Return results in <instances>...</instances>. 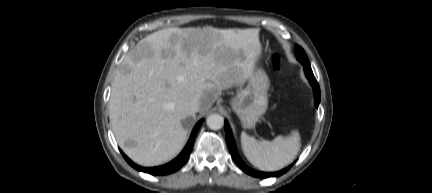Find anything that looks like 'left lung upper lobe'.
Here are the masks:
<instances>
[{
    "label": "left lung upper lobe",
    "mask_w": 432,
    "mask_h": 193,
    "mask_svg": "<svg viewBox=\"0 0 432 193\" xmlns=\"http://www.w3.org/2000/svg\"><path fill=\"white\" fill-rule=\"evenodd\" d=\"M295 53L299 61H308L305 51L300 46H296Z\"/></svg>",
    "instance_id": "5c2ea615"
}]
</instances>
